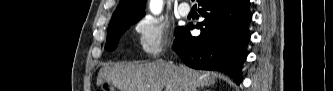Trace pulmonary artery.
I'll list each match as a JSON object with an SVG mask.
<instances>
[{"label":"pulmonary artery","instance_id":"pulmonary-artery-1","mask_svg":"<svg viewBox=\"0 0 333 91\" xmlns=\"http://www.w3.org/2000/svg\"><path fill=\"white\" fill-rule=\"evenodd\" d=\"M178 12L181 16H187L190 12V6L187 3H181Z\"/></svg>","mask_w":333,"mask_h":91}]
</instances>
